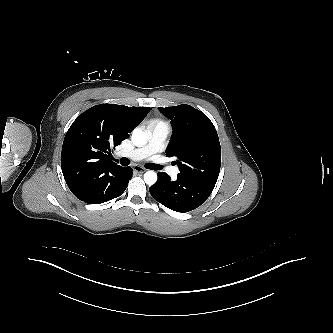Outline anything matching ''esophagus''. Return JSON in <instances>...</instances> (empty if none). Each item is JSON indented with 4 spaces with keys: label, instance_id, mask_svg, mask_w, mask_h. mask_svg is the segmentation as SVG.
Wrapping results in <instances>:
<instances>
[{
    "label": "esophagus",
    "instance_id": "1",
    "mask_svg": "<svg viewBox=\"0 0 333 333\" xmlns=\"http://www.w3.org/2000/svg\"><path fill=\"white\" fill-rule=\"evenodd\" d=\"M133 170L136 171V172H138V173H143V172L146 171V169L144 167L139 166V165H134L133 166Z\"/></svg>",
    "mask_w": 333,
    "mask_h": 333
}]
</instances>
